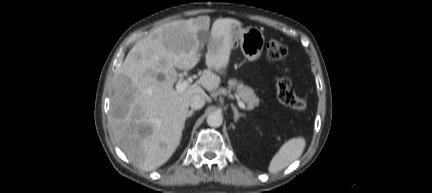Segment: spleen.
Wrapping results in <instances>:
<instances>
[{"instance_id":"obj_1","label":"spleen","mask_w":432,"mask_h":193,"mask_svg":"<svg viewBox=\"0 0 432 193\" xmlns=\"http://www.w3.org/2000/svg\"><path fill=\"white\" fill-rule=\"evenodd\" d=\"M306 141L303 137L292 138L284 143L270 161L268 171L277 173L297 160L303 153Z\"/></svg>"}]
</instances>
